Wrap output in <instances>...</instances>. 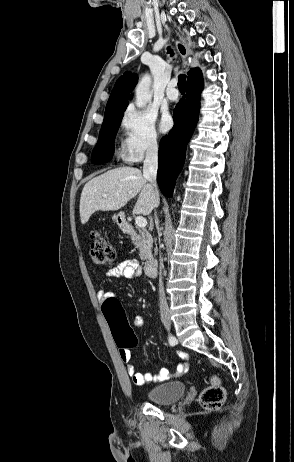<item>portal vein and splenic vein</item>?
<instances>
[{"instance_id":"obj_1","label":"portal vein and splenic vein","mask_w":294,"mask_h":462,"mask_svg":"<svg viewBox=\"0 0 294 462\" xmlns=\"http://www.w3.org/2000/svg\"><path fill=\"white\" fill-rule=\"evenodd\" d=\"M104 197H107V195H104ZM135 223L139 228H145L147 226V220L142 216L136 217Z\"/></svg>"}]
</instances>
